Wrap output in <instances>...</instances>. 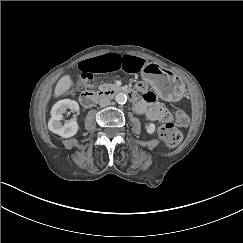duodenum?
I'll return each mask as SVG.
<instances>
[{
	"mask_svg": "<svg viewBox=\"0 0 243 243\" xmlns=\"http://www.w3.org/2000/svg\"><path fill=\"white\" fill-rule=\"evenodd\" d=\"M123 93L125 94L131 101L135 102L138 100V93L130 88L126 87H116L109 91L94 93L93 91H84L80 96V102L84 107H91L100 97L103 96H114L116 94Z\"/></svg>",
	"mask_w": 243,
	"mask_h": 243,
	"instance_id": "410a0bca",
	"label": "duodenum"
}]
</instances>
